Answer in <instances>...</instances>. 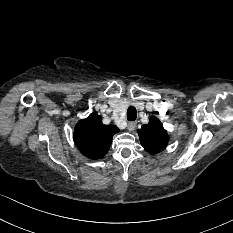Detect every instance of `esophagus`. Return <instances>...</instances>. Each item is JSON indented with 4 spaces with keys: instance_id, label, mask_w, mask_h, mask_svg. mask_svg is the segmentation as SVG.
<instances>
[{
    "instance_id": "1",
    "label": "esophagus",
    "mask_w": 233,
    "mask_h": 233,
    "mask_svg": "<svg viewBox=\"0 0 233 233\" xmlns=\"http://www.w3.org/2000/svg\"><path fill=\"white\" fill-rule=\"evenodd\" d=\"M136 122H134V121H132V122H129L128 123V125H127V129L129 130V131H133L134 129H135V127H136Z\"/></svg>"
}]
</instances>
